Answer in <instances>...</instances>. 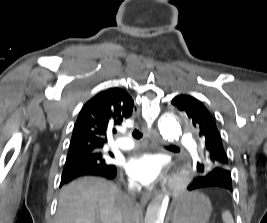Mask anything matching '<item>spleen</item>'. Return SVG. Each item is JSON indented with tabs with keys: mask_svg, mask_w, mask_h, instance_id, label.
Here are the masks:
<instances>
[{
	"mask_svg": "<svg viewBox=\"0 0 267 223\" xmlns=\"http://www.w3.org/2000/svg\"><path fill=\"white\" fill-rule=\"evenodd\" d=\"M222 220L224 223H234L231 213L226 210L222 212Z\"/></svg>",
	"mask_w": 267,
	"mask_h": 223,
	"instance_id": "3e777b00",
	"label": "spleen"
}]
</instances>
